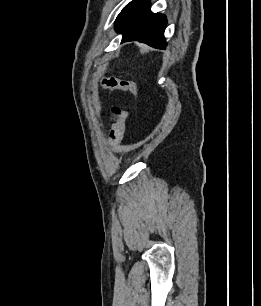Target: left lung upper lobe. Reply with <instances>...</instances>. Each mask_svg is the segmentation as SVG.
Segmentation results:
<instances>
[{
  "instance_id": "obj_1",
  "label": "left lung upper lobe",
  "mask_w": 261,
  "mask_h": 306,
  "mask_svg": "<svg viewBox=\"0 0 261 306\" xmlns=\"http://www.w3.org/2000/svg\"><path fill=\"white\" fill-rule=\"evenodd\" d=\"M125 9V7L123 8V10ZM123 10L121 11V13L118 15V17H117V19H116V22H115V24L117 23V21L119 20V18H120V16H121V14H122V12H123Z\"/></svg>"
}]
</instances>
